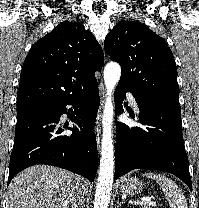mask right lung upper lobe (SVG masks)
Returning <instances> with one entry per match:
<instances>
[{
    "instance_id": "1",
    "label": "right lung upper lobe",
    "mask_w": 199,
    "mask_h": 208,
    "mask_svg": "<svg viewBox=\"0 0 199 208\" xmlns=\"http://www.w3.org/2000/svg\"><path fill=\"white\" fill-rule=\"evenodd\" d=\"M104 64L101 46L79 22L64 21L39 39L24 60L18 109L76 94L93 83Z\"/></svg>"
}]
</instances>
